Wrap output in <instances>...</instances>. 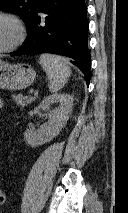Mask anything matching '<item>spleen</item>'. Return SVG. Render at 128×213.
<instances>
[{"label": "spleen", "instance_id": "obj_1", "mask_svg": "<svg viewBox=\"0 0 128 213\" xmlns=\"http://www.w3.org/2000/svg\"><path fill=\"white\" fill-rule=\"evenodd\" d=\"M39 60L49 79V91L55 93L61 90L71 75L69 61L52 54L40 55Z\"/></svg>", "mask_w": 128, "mask_h": 213}]
</instances>
